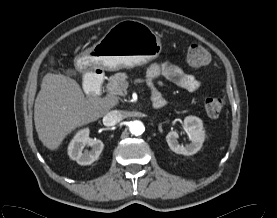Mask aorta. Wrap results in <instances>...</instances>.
<instances>
[{"instance_id": "762f6f07", "label": "aorta", "mask_w": 277, "mask_h": 218, "mask_svg": "<svg viewBox=\"0 0 277 218\" xmlns=\"http://www.w3.org/2000/svg\"><path fill=\"white\" fill-rule=\"evenodd\" d=\"M129 130L133 135L138 136L144 132L145 128L141 121L136 120V121L131 122V124L129 126Z\"/></svg>"}]
</instances>
